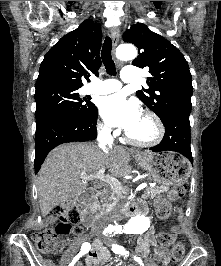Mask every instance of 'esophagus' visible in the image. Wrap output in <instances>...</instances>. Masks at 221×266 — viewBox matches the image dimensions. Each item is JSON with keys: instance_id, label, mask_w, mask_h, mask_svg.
<instances>
[{"instance_id": "esophagus-1", "label": "esophagus", "mask_w": 221, "mask_h": 266, "mask_svg": "<svg viewBox=\"0 0 221 266\" xmlns=\"http://www.w3.org/2000/svg\"><path fill=\"white\" fill-rule=\"evenodd\" d=\"M110 33H111L110 35L112 38V46H113L112 52H113V54H115V49H116L118 41H119V30L117 28H113V29H111ZM138 154H139V152H138Z\"/></svg>"}]
</instances>
